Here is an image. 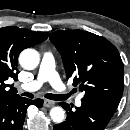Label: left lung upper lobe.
<instances>
[{
	"label": "left lung upper lobe",
	"instance_id": "5c2ea615",
	"mask_svg": "<svg viewBox=\"0 0 130 130\" xmlns=\"http://www.w3.org/2000/svg\"><path fill=\"white\" fill-rule=\"evenodd\" d=\"M51 42L60 52L67 79L83 99L117 109L124 88V68L117 48L104 37L82 30L56 31Z\"/></svg>",
	"mask_w": 130,
	"mask_h": 130
}]
</instances>
